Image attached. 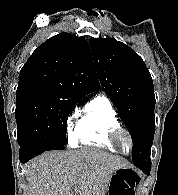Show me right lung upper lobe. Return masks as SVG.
Masks as SVG:
<instances>
[{"mask_svg":"<svg viewBox=\"0 0 178 195\" xmlns=\"http://www.w3.org/2000/svg\"><path fill=\"white\" fill-rule=\"evenodd\" d=\"M98 88L88 42L73 34L60 33L41 44L22 67L16 95L79 101Z\"/></svg>","mask_w":178,"mask_h":195,"instance_id":"cb5924a9","label":"right lung upper lobe"}]
</instances>
